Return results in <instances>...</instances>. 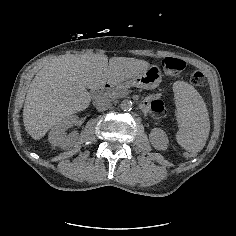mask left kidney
<instances>
[{
    "label": "left kidney",
    "instance_id": "obj_1",
    "mask_svg": "<svg viewBox=\"0 0 236 236\" xmlns=\"http://www.w3.org/2000/svg\"><path fill=\"white\" fill-rule=\"evenodd\" d=\"M149 140L152 146L157 150H166L168 147V137L160 128H153L149 134Z\"/></svg>",
    "mask_w": 236,
    "mask_h": 236
}]
</instances>
